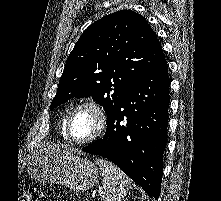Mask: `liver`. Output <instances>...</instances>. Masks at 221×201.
Segmentation results:
<instances>
[{"mask_svg": "<svg viewBox=\"0 0 221 201\" xmlns=\"http://www.w3.org/2000/svg\"><path fill=\"white\" fill-rule=\"evenodd\" d=\"M52 149H54V150H56V151H69L68 149H61V148H59V147H58V148L55 147V148H52Z\"/></svg>", "mask_w": 221, "mask_h": 201, "instance_id": "obj_1", "label": "liver"}]
</instances>
